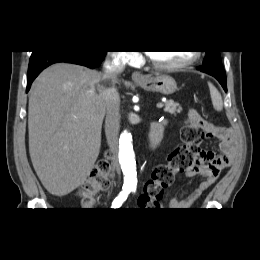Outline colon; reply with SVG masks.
<instances>
[{
    "label": "colon",
    "instance_id": "1",
    "mask_svg": "<svg viewBox=\"0 0 260 260\" xmlns=\"http://www.w3.org/2000/svg\"><path fill=\"white\" fill-rule=\"evenodd\" d=\"M195 112L191 110L187 124L181 132L183 145L172 152L168 162L158 165L152 172L151 178L146 182L143 195L148 198L153 205L163 197L165 189L170 187L178 173L188 170L199 153L200 144L205 138L204 132L197 126ZM107 158L100 160L89 177L84 182L79 196L84 203H90L93 194L105 190L110 185L111 164Z\"/></svg>",
    "mask_w": 260,
    "mask_h": 260
}]
</instances>
